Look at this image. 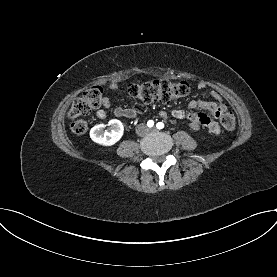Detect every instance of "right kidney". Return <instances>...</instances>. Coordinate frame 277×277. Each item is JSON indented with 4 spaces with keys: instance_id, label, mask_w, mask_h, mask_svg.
<instances>
[{
    "instance_id": "obj_1",
    "label": "right kidney",
    "mask_w": 277,
    "mask_h": 277,
    "mask_svg": "<svg viewBox=\"0 0 277 277\" xmlns=\"http://www.w3.org/2000/svg\"><path fill=\"white\" fill-rule=\"evenodd\" d=\"M109 129L104 131V124L94 126L90 130V138L100 145L111 146L117 143L123 136L124 127L121 121L117 119L110 120Z\"/></svg>"
}]
</instances>
